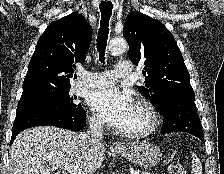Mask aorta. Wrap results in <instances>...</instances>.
I'll list each match as a JSON object with an SVG mask.
<instances>
[{
  "mask_svg": "<svg viewBox=\"0 0 224 174\" xmlns=\"http://www.w3.org/2000/svg\"><path fill=\"white\" fill-rule=\"evenodd\" d=\"M127 48V42L124 38H113L109 42L108 50L111 54H121Z\"/></svg>",
  "mask_w": 224,
  "mask_h": 174,
  "instance_id": "1",
  "label": "aorta"
}]
</instances>
